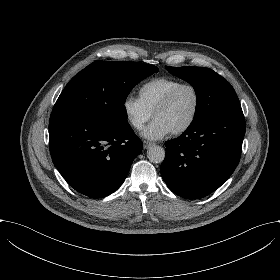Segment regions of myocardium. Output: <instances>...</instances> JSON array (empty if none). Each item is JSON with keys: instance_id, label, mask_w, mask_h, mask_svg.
<instances>
[{"instance_id": "obj_1", "label": "myocardium", "mask_w": 280, "mask_h": 280, "mask_svg": "<svg viewBox=\"0 0 280 280\" xmlns=\"http://www.w3.org/2000/svg\"><path fill=\"white\" fill-rule=\"evenodd\" d=\"M185 87H191L196 94V106H195V110L194 113L192 115V117L190 118V120L185 123L184 125L176 128L175 130H173V133L175 134H182L186 131H188L190 128L193 127V125L196 123L200 111H201V106H202V93L200 88L198 87V85H196L195 83L192 82H182L181 84H179L175 89H173L155 108L153 115L155 116L158 112H160L161 110L169 107L172 103V101L174 100V98L176 97V95L179 93L180 90H182Z\"/></svg>"}]
</instances>
